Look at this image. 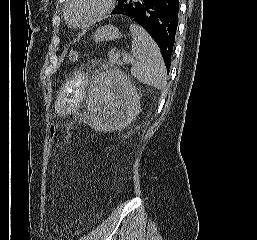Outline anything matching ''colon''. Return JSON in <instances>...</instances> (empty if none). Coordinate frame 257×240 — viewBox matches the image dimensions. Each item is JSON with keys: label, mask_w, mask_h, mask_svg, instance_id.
I'll return each instance as SVG.
<instances>
[{"label": "colon", "mask_w": 257, "mask_h": 240, "mask_svg": "<svg viewBox=\"0 0 257 240\" xmlns=\"http://www.w3.org/2000/svg\"><path fill=\"white\" fill-rule=\"evenodd\" d=\"M78 57H79V54H78L77 51H74V50L70 51V53H69V60L71 62L77 61ZM56 131H57L56 126L55 125H51L50 128H49V140H50V142L54 141L55 136H56Z\"/></svg>", "instance_id": "1"}]
</instances>
